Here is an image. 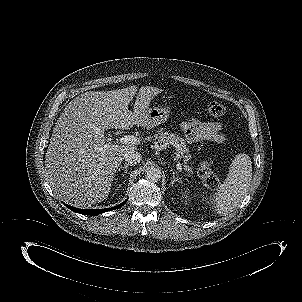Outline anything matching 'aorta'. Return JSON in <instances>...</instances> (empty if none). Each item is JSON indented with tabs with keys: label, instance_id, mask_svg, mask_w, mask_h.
<instances>
[{
	"label": "aorta",
	"instance_id": "obj_1",
	"mask_svg": "<svg viewBox=\"0 0 302 302\" xmlns=\"http://www.w3.org/2000/svg\"><path fill=\"white\" fill-rule=\"evenodd\" d=\"M146 179L152 182H156L161 178V171L156 167H149L145 173Z\"/></svg>",
	"mask_w": 302,
	"mask_h": 302
}]
</instances>
